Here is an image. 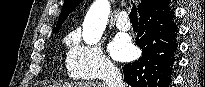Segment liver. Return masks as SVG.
Segmentation results:
<instances>
[{
    "label": "liver",
    "mask_w": 205,
    "mask_h": 87,
    "mask_svg": "<svg viewBox=\"0 0 205 87\" xmlns=\"http://www.w3.org/2000/svg\"><path fill=\"white\" fill-rule=\"evenodd\" d=\"M53 87H107L105 83L98 82H71L64 84H57Z\"/></svg>",
    "instance_id": "6515ba94"
}]
</instances>
